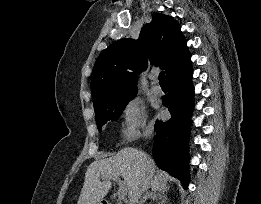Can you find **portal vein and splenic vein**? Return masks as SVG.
Here are the masks:
<instances>
[{
  "label": "portal vein and splenic vein",
  "instance_id": "portal-vein-and-splenic-vein-1",
  "mask_svg": "<svg viewBox=\"0 0 261 204\" xmlns=\"http://www.w3.org/2000/svg\"><path fill=\"white\" fill-rule=\"evenodd\" d=\"M108 180H113L118 183L119 189H118V197L119 199H124L127 194V187L124 185V183L119 179L117 176H110L108 177Z\"/></svg>",
  "mask_w": 261,
  "mask_h": 204
}]
</instances>
